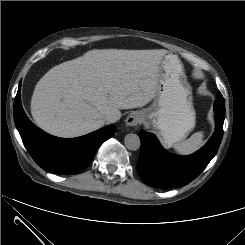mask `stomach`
Returning a JSON list of instances; mask_svg holds the SVG:
<instances>
[{"label": "stomach", "mask_w": 245, "mask_h": 245, "mask_svg": "<svg viewBox=\"0 0 245 245\" xmlns=\"http://www.w3.org/2000/svg\"><path fill=\"white\" fill-rule=\"evenodd\" d=\"M143 113L145 121L168 146L184 140L195 127L191 87L186 82L184 67L177 55L169 53L163 57L154 103Z\"/></svg>", "instance_id": "obj_1"}]
</instances>
